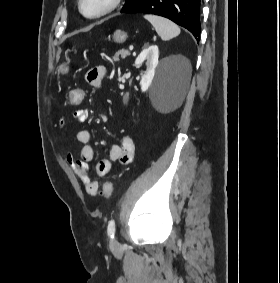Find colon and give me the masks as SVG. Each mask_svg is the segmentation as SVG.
Masks as SVG:
<instances>
[{"label": "colon", "mask_w": 280, "mask_h": 283, "mask_svg": "<svg viewBox=\"0 0 280 283\" xmlns=\"http://www.w3.org/2000/svg\"><path fill=\"white\" fill-rule=\"evenodd\" d=\"M86 94L85 87L78 84L77 87H72V90L68 91V104L70 108H79L85 102ZM113 191V184L111 181L105 182L102 190V195L104 198H109Z\"/></svg>", "instance_id": "5ec220e1"}]
</instances>
